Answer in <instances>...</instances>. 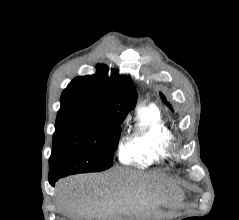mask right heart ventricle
Returning a JSON list of instances; mask_svg holds the SVG:
<instances>
[{
	"mask_svg": "<svg viewBox=\"0 0 239 220\" xmlns=\"http://www.w3.org/2000/svg\"><path fill=\"white\" fill-rule=\"evenodd\" d=\"M171 141V132L155 105L142 107L132 124L131 133L119 148V160L125 165L145 167L163 159Z\"/></svg>",
	"mask_w": 239,
	"mask_h": 220,
	"instance_id": "obj_1",
	"label": "right heart ventricle"
}]
</instances>
